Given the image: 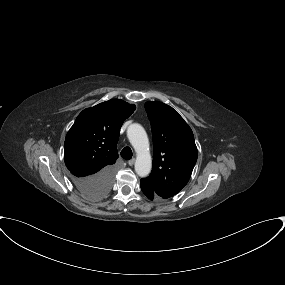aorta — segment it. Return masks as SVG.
Returning <instances> with one entry per match:
<instances>
[{
    "label": "aorta",
    "instance_id": "762f6f07",
    "mask_svg": "<svg viewBox=\"0 0 285 285\" xmlns=\"http://www.w3.org/2000/svg\"><path fill=\"white\" fill-rule=\"evenodd\" d=\"M127 137L136 152L135 171L140 177L149 175L152 160L149 151V140L144 128L137 123L129 125Z\"/></svg>",
    "mask_w": 285,
    "mask_h": 285
}]
</instances>
